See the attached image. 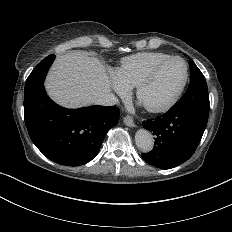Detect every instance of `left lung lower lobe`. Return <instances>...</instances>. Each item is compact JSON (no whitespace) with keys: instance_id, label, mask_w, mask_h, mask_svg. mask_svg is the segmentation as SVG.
Segmentation results:
<instances>
[{"instance_id":"0a47b994","label":"left lung lower lobe","mask_w":232,"mask_h":232,"mask_svg":"<svg viewBox=\"0 0 232 232\" xmlns=\"http://www.w3.org/2000/svg\"><path fill=\"white\" fill-rule=\"evenodd\" d=\"M208 119L188 110H172L143 121L155 136L154 148L142 158L161 169L174 168L187 161L198 147Z\"/></svg>"}]
</instances>
